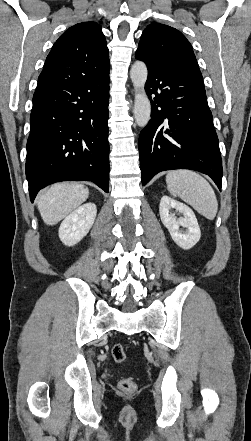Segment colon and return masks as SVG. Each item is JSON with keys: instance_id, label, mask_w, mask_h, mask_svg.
<instances>
[{"instance_id": "obj_1", "label": "colon", "mask_w": 251, "mask_h": 441, "mask_svg": "<svg viewBox=\"0 0 251 441\" xmlns=\"http://www.w3.org/2000/svg\"><path fill=\"white\" fill-rule=\"evenodd\" d=\"M111 356L116 363L124 362L126 359V353H125L123 345L114 344L111 347ZM118 385L122 391L127 392V393H131V392L135 391V389H136V383L134 382V380L132 378H129V377L122 378L119 381Z\"/></svg>"}]
</instances>
